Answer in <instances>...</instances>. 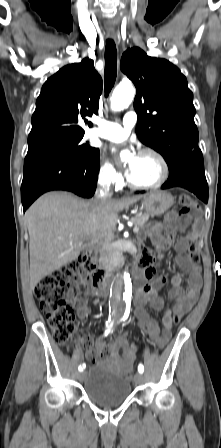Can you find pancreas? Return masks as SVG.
Here are the masks:
<instances>
[{
    "mask_svg": "<svg viewBox=\"0 0 221 448\" xmlns=\"http://www.w3.org/2000/svg\"><path fill=\"white\" fill-rule=\"evenodd\" d=\"M149 219L148 214L136 215L131 218V222L138 227H143ZM106 261L110 268L116 267L120 262V255L114 251H109L106 255Z\"/></svg>",
    "mask_w": 221,
    "mask_h": 448,
    "instance_id": "1",
    "label": "pancreas"
}]
</instances>
